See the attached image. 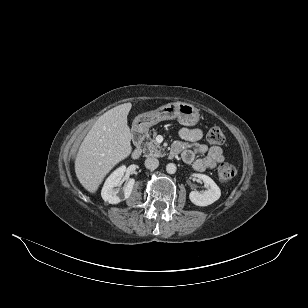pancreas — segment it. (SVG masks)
I'll use <instances>...</instances> for the list:
<instances>
[{
    "instance_id": "pancreas-1",
    "label": "pancreas",
    "mask_w": 308,
    "mask_h": 308,
    "mask_svg": "<svg viewBox=\"0 0 308 308\" xmlns=\"http://www.w3.org/2000/svg\"><path fill=\"white\" fill-rule=\"evenodd\" d=\"M162 148L154 138L149 139L144 145L143 153L145 156L162 157Z\"/></svg>"
}]
</instances>
